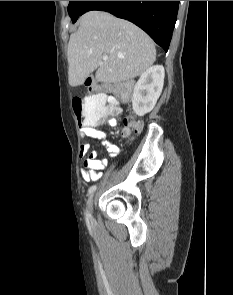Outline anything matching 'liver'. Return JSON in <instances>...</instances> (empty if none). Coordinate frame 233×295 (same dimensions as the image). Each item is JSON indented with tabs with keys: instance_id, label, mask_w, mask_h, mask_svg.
<instances>
[{
	"instance_id": "obj_1",
	"label": "liver",
	"mask_w": 233,
	"mask_h": 295,
	"mask_svg": "<svg viewBox=\"0 0 233 295\" xmlns=\"http://www.w3.org/2000/svg\"><path fill=\"white\" fill-rule=\"evenodd\" d=\"M67 59L72 87L82 85L95 70L97 81L118 83L143 74L155 62L156 49L133 23L93 10L80 18L77 32L71 34Z\"/></svg>"
}]
</instances>
